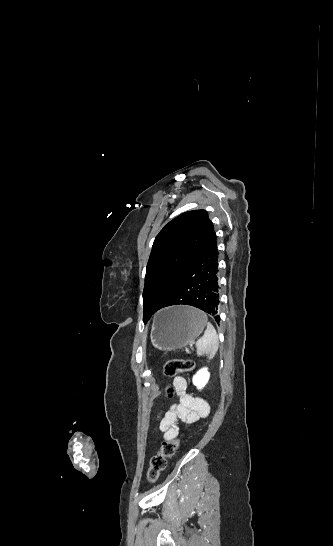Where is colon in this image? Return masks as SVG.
I'll return each mask as SVG.
<instances>
[{
  "label": "colon",
  "mask_w": 333,
  "mask_h": 546,
  "mask_svg": "<svg viewBox=\"0 0 333 546\" xmlns=\"http://www.w3.org/2000/svg\"><path fill=\"white\" fill-rule=\"evenodd\" d=\"M194 363L191 360L170 359L163 365V375L165 377H175L181 373L189 372L193 369ZM173 390L167 389V394L171 396ZM180 445L179 440H165L159 451L151 458L150 465L147 471V479L149 482H156L165 469L167 459L172 457Z\"/></svg>",
  "instance_id": "1"
}]
</instances>
